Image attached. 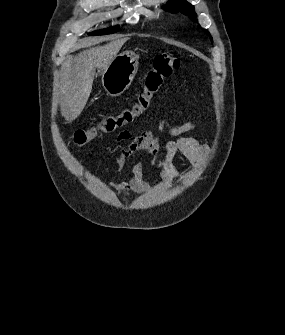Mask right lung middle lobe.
<instances>
[{
    "mask_svg": "<svg viewBox=\"0 0 285 335\" xmlns=\"http://www.w3.org/2000/svg\"><path fill=\"white\" fill-rule=\"evenodd\" d=\"M119 28V26L117 27H112V28H108L105 30H101V31H95L93 33H90V35H105V34H111V33H115L116 30Z\"/></svg>",
    "mask_w": 285,
    "mask_h": 335,
    "instance_id": "right-lung-middle-lobe-1",
    "label": "right lung middle lobe"
}]
</instances>
